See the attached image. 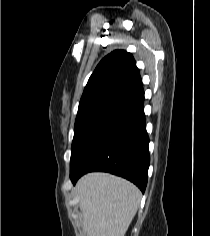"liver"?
Masks as SVG:
<instances>
[{
    "label": "liver",
    "mask_w": 210,
    "mask_h": 236,
    "mask_svg": "<svg viewBox=\"0 0 210 236\" xmlns=\"http://www.w3.org/2000/svg\"><path fill=\"white\" fill-rule=\"evenodd\" d=\"M76 190L87 236H125L141 200L134 184L108 173L93 172L80 178Z\"/></svg>",
    "instance_id": "1"
}]
</instances>
